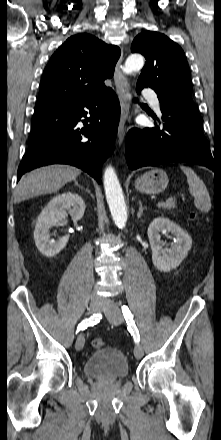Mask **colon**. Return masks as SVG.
Here are the masks:
<instances>
[{
    "label": "colon",
    "mask_w": 221,
    "mask_h": 440,
    "mask_svg": "<svg viewBox=\"0 0 221 440\" xmlns=\"http://www.w3.org/2000/svg\"><path fill=\"white\" fill-rule=\"evenodd\" d=\"M91 345L94 349H101L104 347V341L102 339L96 338L92 340Z\"/></svg>",
    "instance_id": "colon-1"
}]
</instances>
